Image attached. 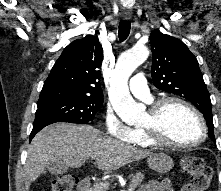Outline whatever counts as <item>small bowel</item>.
I'll return each mask as SVG.
<instances>
[{
	"label": "small bowel",
	"instance_id": "obj_1",
	"mask_svg": "<svg viewBox=\"0 0 221 191\" xmlns=\"http://www.w3.org/2000/svg\"><path fill=\"white\" fill-rule=\"evenodd\" d=\"M138 191H174L172 183L169 180L149 181L144 184Z\"/></svg>",
	"mask_w": 221,
	"mask_h": 191
}]
</instances>
